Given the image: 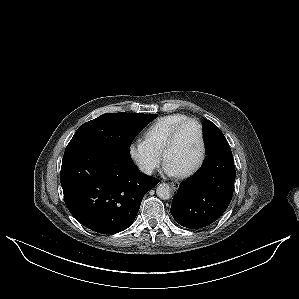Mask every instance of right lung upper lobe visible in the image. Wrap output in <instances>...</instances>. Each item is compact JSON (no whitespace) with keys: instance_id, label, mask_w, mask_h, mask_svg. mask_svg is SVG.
Listing matches in <instances>:
<instances>
[{"instance_id":"cb5924a9","label":"right lung upper lobe","mask_w":299,"mask_h":299,"mask_svg":"<svg viewBox=\"0 0 299 299\" xmlns=\"http://www.w3.org/2000/svg\"><path fill=\"white\" fill-rule=\"evenodd\" d=\"M135 114H140V115H144V116H158L157 114H150V115L143 114V113H135Z\"/></svg>"}]
</instances>
